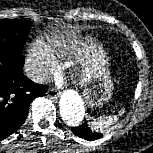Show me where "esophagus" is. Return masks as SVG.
<instances>
[{
	"instance_id": "esophagus-1",
	"label": "esophagus",
	"mask_w": 153,
	"mask_h": 153,
	"mask_svg": "<svg viewBox=\"0 0 153 153\" xmlns=\"http://www.w3.org/2000/svg\"><path fill=\"white\" fill-rule=\"evenodd\" d=\"M46 94L52 100H57L59 98V93L55 89H49Z\"/></svg>"
}]
</instances>
